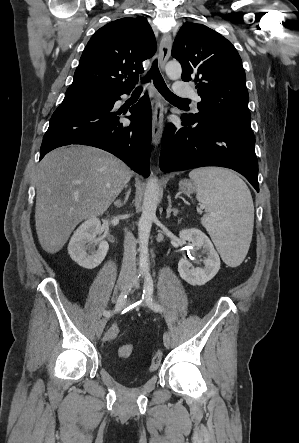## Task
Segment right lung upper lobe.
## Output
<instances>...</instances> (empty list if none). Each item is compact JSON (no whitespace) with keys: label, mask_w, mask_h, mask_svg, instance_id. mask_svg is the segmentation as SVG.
Masks as SVG:
<instances>
[{"label":"right lung upper lobe","mask_w":299,"mask_h":443,"mask_svg":"<svg viewBox=\"0 0 299 443\" xmlns=\"http://www.w3.org/2000/svg\"><path fill=\"white\" fill-rule=\"evenodd\" d=\"M156 49L154 33L144 17L112 21L87 43L70 87L110 93L132 89L144 72L142 62Z\"/></svg>","instance_id":"cb5924a9"}]
</instances>
